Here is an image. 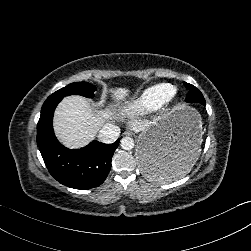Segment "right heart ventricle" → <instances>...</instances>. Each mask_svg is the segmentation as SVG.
Masks as SVG:
<instances>
[{"mask_svg": "<svg viewBox=\"0 0 251 251\" xmlns=\"http://www.w3.org/2000/svg\"><path fill=\"white\" fill-rule=\"evenodd\" d=\"M173 84L158 83L145 88L136 99L123 111L126 115L141 112H152L160 107L173 90Z\"/></svg>", "mask_w": 251, "mask_h": 251, "instance_id": "obj_1", "label": "right heart ventricle"}]
</instances>
